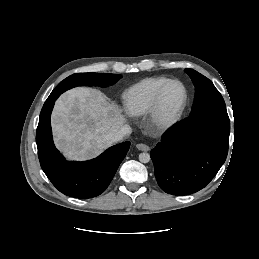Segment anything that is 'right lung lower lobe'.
Instances as JSON below:
<instances>
[{
	"label": "right lung lower lobe",
	"mask_w": 259,
	"mask_h": 259,
	"mask_svg": "<svg viewBox=\"0 0 259 259\" xmlns=\"http://www.w3.org/2000/svg\"><path fill=\"white\" fill-rule=\"evenodd\" d=\"M58 97L46 100L36 131L42 170L56 189L67 196L83 199L98 196L110 184L129 150L130 142L115 145L89 161H66L54 146L50 125L51 112Z\"/></svg>",
	"instance_id": "obj_1"
}]
</instances>
